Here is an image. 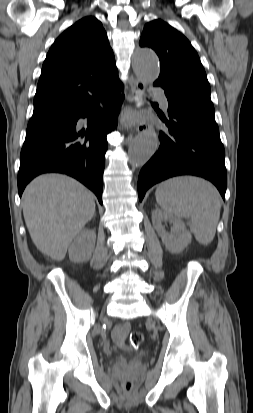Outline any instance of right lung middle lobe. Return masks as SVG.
<instances>
[{"instance_id": "obj_1", "label": "right lung middle lobe", "mask_w": 253, "mask_h": 413, "mask_svg": "<svg viewBox=\"0 0 253 413\" xmlns=\"http://www.w3.org/2000/svg\"><path fill=\"white\" fill-rule=\"evenodd\" d=\"M65 114L66 112H60L31 117L27 126L26 135L41 131L49 126L56 124L65 116Z\"/></svg>"}]
</instances>
